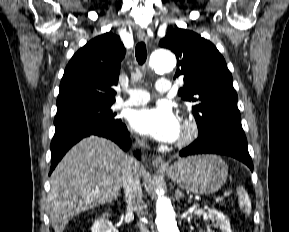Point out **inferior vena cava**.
Listing matches in <instances>:
<instances>
[{
    "mask_svg": "<svg viewBox=\"0 0 289 232\" xmlns=\"http://www.w3.org/2000/svg\"><path fill=\"white\" fill-rule=\"evenodd\" d=\"M143 145L144 144L142 141L141 146ZM138 167L139 163L133 157H129L128 164L126 165L123 174V188L127 202V212L128 213L136 212L138 215L141 216L144 214L146 204L143 199L140 180L137 174ZM138 228L140 232H149L145 223L141 220L138 223Z\"/></svg>",
    "mask_w": 289,
    "mask_h": 232,
    "instance_id": "inferior-vena-cava-1",
    "label": "inferior vena cava"
}]
</instances>
